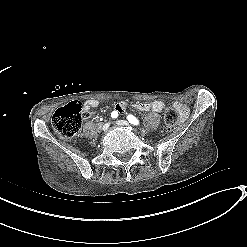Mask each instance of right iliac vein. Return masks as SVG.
I'll list each match as a JSON object with an SVG mask.
<instances>
[{
	"label": "right iliac vein",
	"instance_id": "obj_1",
	"mask_svg": "<svg viewBox=\"0 0 247 247\" xmlns=\"http://www.w3.org/2000/svg\"><path fill=\"white\" fill-rule=\"evenodd\" d=\"M109 126H110V123H105V124L103 125V127H102V130H103V131H106V130L109 128Z\"/></svg>",
	"mask_w": 247,
	"mask_h": 247
}]
</instances>
